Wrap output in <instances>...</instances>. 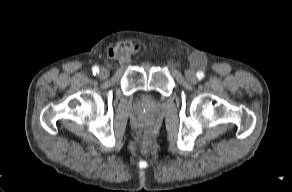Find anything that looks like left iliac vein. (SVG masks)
Returning a JSON list of instances; mask_svg holds the SVG:
<instances>
[{
    "instance_id": "4c4485c4",
    "label": "left iliac vein",
    "mask_w": 292,
    "mask_h": 192,
    "mask_svg": "<svg viewBox=\"0 0 292 192\" xmlns=\"http://www.w3.org/2000/svg\"><path fill=\"white\" fill-rule=\"evenodd\" d=\"M185 76L187 80L191 83H195L197 81L196 74L193 70H187Z\"/></svg>"
}]
</instances>
